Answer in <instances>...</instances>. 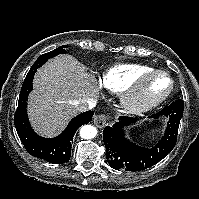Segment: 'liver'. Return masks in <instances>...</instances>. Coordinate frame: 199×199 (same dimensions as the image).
Listing matches in <instances>:
<instances>
[{
  "instance_id": "obj_1",
  "label": "liver",
  "mask_w": 199,
  "mask_h": 199,
  "mask_svg": "<svg viewBox=\"0 0 199 199\" xmlns=\"http://www.w3.org/2000/svg\"><path fill=\"white\" fill-rule=\"evenodd\" d=\"M29 96V119L44 137L58 135L77 115L76 103L96 100L99 88L94 76L70 55L57 56L37 71Z\"/></svg>"
}]
</instances>
